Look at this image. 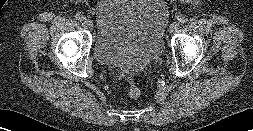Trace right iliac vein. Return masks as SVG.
Masks as SVG:
<instances>
[{"label": "right iliac vein", "mask_w": 253, "mask_h": 131, "mask_svg": "<svg viewBox=\"0 0 253 131\" xmlns=\"http://www.w3.org/2000/svg\"><path fill=\"white\" fill-rule=\"evenodd\" d=\"M84 24H85V26H86L87 28H89L90 30L93 29V22H92V20H90V19H85Z\"/></svg>", "instance_id": "obj_1"}]
</instances>
